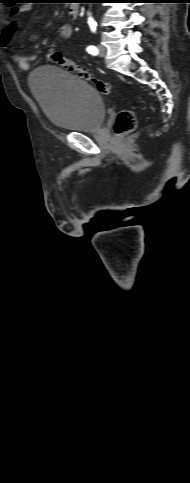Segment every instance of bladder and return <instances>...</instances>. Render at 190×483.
<instances>
[{"label":"bladder","instance_id":"31cf9c89","mask_svg":"<svg viewBox=\"0 0 190 483\" xmlns=\"http://www.w3.org/2000/svg\"><path fill=\"white\" fill-rule=\"evenodd\" d=\"M29 86L46 118L64 131L90 132L103 125L106 108L90 83L57 67L36 69Z\"/></svg>","mask_w":190,"mask_h":483}]
</instances>
